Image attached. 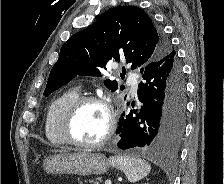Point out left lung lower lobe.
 I'll list each match as a JSON object with an SVG mask.
<instances>
[{
	"mask_svg": "<svg viewBox=\"0 0 224 184\" xmlns=\"http://www.w3.org/2000/svg\"><path fill=\"white\" fill-rule=\"evenodd\" d=\"M140 72L143 77L137 94L141 106L122 113L118 147H145L168 154L181 140L185 119V81L175 50L147 64Z\"/></svg>",
	"mask_w": 224,
	"mask_h": 184,
	"instance_id": "0a47b994",
	"label": "left lung lower lobe"
}]
</instances>
